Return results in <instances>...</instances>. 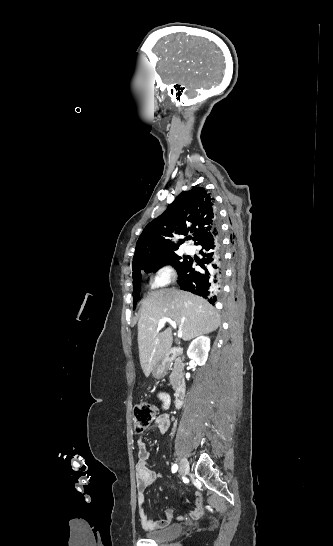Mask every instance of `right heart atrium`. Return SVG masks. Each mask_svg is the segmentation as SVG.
Wrapping results in <instances>:
<instances>
[{
	"label": "right heart atrium",
	"instance_id": "right-heart-atrium-1",
	"mask_svg": "<svg viewBox=\"0 0 333 546\" xmlns=\"http://www.w3.org/2000/svg\"><path fill=\"white\" fill-rule=\"evenodd\" d=\"M175 280V271L169 265H163L155 271L149 281L151 289L163 288Z\"/></svg>",
	"mask_w": 333,
	"mask_h": 546
}]
</instances>
